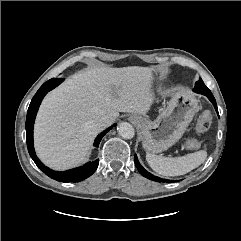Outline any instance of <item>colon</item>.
Returning a JSON list of instances; mask_svg holds the SVG:
<instances>
[{"mask_svg": "<svg viewBox=\"0 0 241 241\" xmlns=\"http://www.w3.org/2000/svg\"><path fill=\"white\" fill-rule=\"evenodd\" d=\"M211 121H212L211 113L208 110L203 111L198 117V120L196 123V131L198 133H204L209 129L211 125ZM187 146L190 149H198L201 146V140L198 138H191L190 140H188Z\"/></svg>", "mask_w": 241, "mask_h": 241, "instance_id": "5ec220e1", "label": "colon"}]
</instances>
